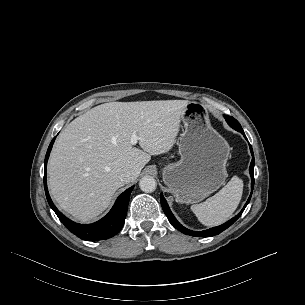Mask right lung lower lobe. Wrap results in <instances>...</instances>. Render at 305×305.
I'll return each mask as SVG.
<instances>
[{"label":"right lung lower lobe","instance_id":"98d812e1","mask_svg":"<svg viewBox=\"0 0 305 305\" xmlns=\"http://www.w3.org/2000/svg\"><path fill=\"white\" fill-rule=\"evenodd\" d=\"M55 138L50 143L46 157H45V169H44V187L47 201L50 207L54 210L59 220L63 222V224L68 228L72 233L83 240L88 241H97L108 239L116 235L123 227L128 203L130 199V193L133 190V187H130L126 191H124L116 200L114 206L110 210V212L103 217L101 220L93 223V224H77L70 219L66 218L53 204L47 189V181H46V166L47 160L49 158L50 151L52 149Z\"/></svg>","mask_w":305,"mask_h":305}]
</instances>
